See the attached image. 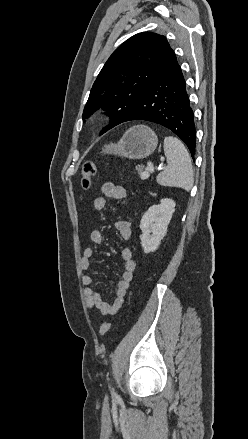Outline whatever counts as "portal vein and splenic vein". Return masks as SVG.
I'll return each mask as SVG.
<instances>
[{"mask_svg": "<svg viewBox=\"0 0 248 439\" xmlns=\"http://www.w3.org/2000/svg\"><path fill=\"white\" fill-rule=\"evenodd\" d=\"M162 169V167L160 166V167H158V170H161ZM154 170H155V168H154V166H153V164L152 163H148V165H147V171H145L144 173H143V179H147L148 177H149V172H154Z\"/></svg>", "mask_w": 248, "mask_h": 439, "instance_id": "obj_1", "label": "portal vein and splenic vein"}]
</instances>
